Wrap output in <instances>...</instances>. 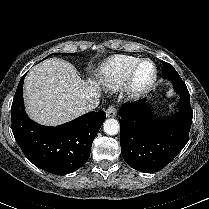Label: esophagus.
<instances>
[{
    "instance_id": "obj_1",
    "label": "esophagus",
    "mask_w": 209,
    "mask_h": 209,
    "mask_svg": "<svg viewBox=\"0 0 209 209\" xmlns=\"http://www.w3.org/2000/svg\"><path fill=\"white\" fill-rule=\"evenodd\" d=\"M116 108L111 105L106 109V116L107 117H115L116 116Z\"/></svg>"
}]
</instances>
